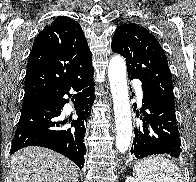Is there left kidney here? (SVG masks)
<instances>
[{
	"label": "left kidney",
	"instance_id": "obj_1",
	"mask_svg": "<svg viewBox=\"0 0 196 182\" xmlns=\"http://www.w3.org/2000/svg\"><path fill=\"white\" fill-rule=\"evenodd\" d=\"M125 182H138V181L134 177L129 176V177H127Z\"/></svg>",
	"mask_w": 196,
	"mask_h": 182
}]
</instances>
